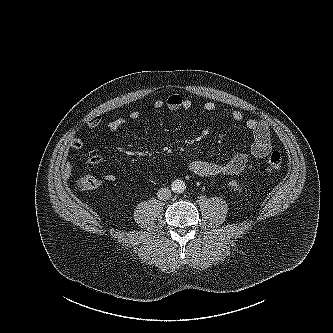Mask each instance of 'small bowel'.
<instances>
[{"label":"small bowel","instance_id":"1","mask_svg":"<svg viewBox=\"0 0 333 333\" xmlns=\"http://www.w3.org/2000/svg\"><path fill=\"white\" fill-rule=\"evenodd\" d=\"M166 107L170 111L190 110L193 108V102L190 99L184 98L178 94H172L164 100H156L154 102L155 109H162ZM206 112H214L216 105L213 102H205L202 106ZM141 117L139 110H133L128 115V118H114L103 120L101 116L97 115L90 118L87 125L91 129L99 126H104L108 131L115 132L125 125L129 120H138ZM230 117L238 123H244L247 130L253 137V142L249 149L235 153L229 160L224 162H213L204 159H194L189 163V169L196 175L202 177L209 176H223V175H236L242 172L251 158H264L271 151V139L268 124L263 120L253 118L245 119L244 115L239 110H232ZM84 143L80 138L74 137L69 142V147L79 150L83 147ZM102 162V158L98 155H93L89 158V163L98 165ZM64 171L69 174L71 166L66 165ZM107 181H115L116 175L108 173L105 175Z\"/></svg>","mask_w":333,"mask_h":333}]
</instances>
